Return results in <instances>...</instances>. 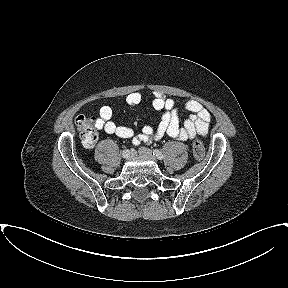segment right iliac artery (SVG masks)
Masks as SVG:
<instances>
[{"label":"right iliac artery","instance_id":"obj_1","mask_svg":"<svg viewBox=\"0 0 288 288\" xmlns=\"http://www.w3.org/2000/svg\"><path fill=\"white\" fill-rule=\"evenodd\" d=\"M121 157L123 158L124 161H129L130 160L129 151L127 149H124L121 152Z\"/></svg>","mask_w":288,"mask_h":288}]
</instances>
